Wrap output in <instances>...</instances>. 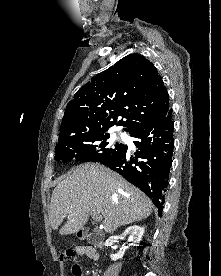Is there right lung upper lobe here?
Segmentation results:
<instances>
[{
    "mask_svg": "<svg viewBox=\"0 0 221 276\" xmlns=\"http://www.w3.org/2000/svg\"><path fill=\"white\" fill-rule=\"evenodd\" d=\"M169 109V95L155 66L140 54H130L78 90L67 104L58 140L106 132L115 124L132 132Z\"/></svg>",
    "mask_w": 221,
    "mask_h": 276,
    "instance_id": "cb5924a9",
    "label": "right lung upper lobe"
}]
</instances>
